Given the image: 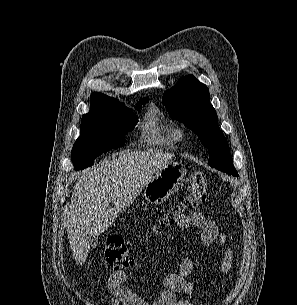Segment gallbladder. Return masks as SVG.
<instances>
[{
    "label": "gallbladder",
    "instance_id": "gallbladder-1",
    "mask_svg": "<svg viewBox=\"0 0 297 305\" xmlns=\"http://www.w3.org/2000/svg\"><path fill=\"white\" fill-rule=\"evenodd\" d=\"M86 241H87L89 250L90 249H94L97 246V244H98V237L97 236H89L88 235L86 237Z\"/></svg>",
    "mask_w": 297,
    "mask_h": 305
}]
</instances>
